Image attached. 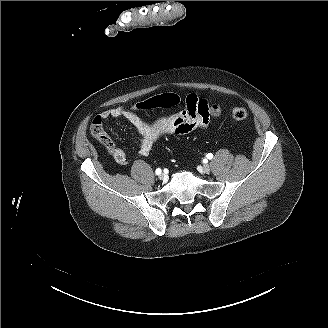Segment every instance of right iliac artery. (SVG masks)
I'll use <instances>...</instances> for the list:
<instances>
[{"instance_id": "obj_1", "label": "right iliac artery", "mask_w": 328, "mask_h": 328, "mask_svg": "<svg viewBox=\"0 0 328 328\" xmlns=\"http://www.w3.org/2000/svg\"><path fill=\"white\" fill-rule=\"evenodd\" d=\"M155 173H156L157 175L161 174V169H160V168H157L156 171H155Z\"/></svg>"}]
</instances>
